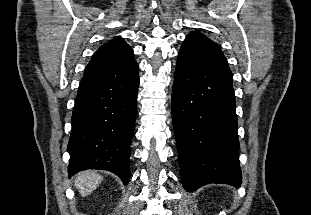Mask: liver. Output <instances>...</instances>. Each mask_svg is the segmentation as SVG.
<instances>
[{"label":"liver","instance_id":"6515ba94","mask_svg":"<svg viewBox=\"0 0 311 215\" xmlns=\"http://www.w3.org/2000/svg\"><path fill=\"white\" fill-rule=\"evenodd\" d=\"M103 177L94 171H83L75 177V187L85 197L91 194L102 182Z\"/></svg>","mask_w":311,"mask_h":215}]
</instances>
